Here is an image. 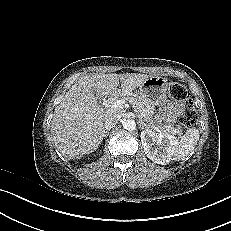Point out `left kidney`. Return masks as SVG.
<instances>
[{"label":"left kidney","mask_w":231,"mask_h":231,"mask_svg":"<svg viewBox=\"0 0 231 231\" xmlns=\"http://www.w3.org/2000/svg\"><path fill=\"white\" fill-rule=\"evenodd\" d=\"M141 143L147 157L157 164L165 165L173 156L178 139L164 132L143 130L141 132Z\"/></svg>","instance_id":"left-kidney-1"}]
</instances>
